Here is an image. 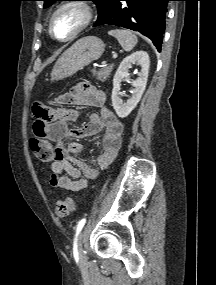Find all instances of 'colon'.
<instances>
[{"label":"colon","mask_w":216,"mask_h":285,"mask_svg":"<svg viewBox=\"0 0 216 285\" xmlns=\"http://www.w3.org/2000/svg\"><path fill=\"white\" fill-rule=\"evenodd\" d=\"M30 149L37 159L49 162L55 158V149L46 136H34L30 140ZM76 208L75 202L71 198L59 200L55 204V214L59 218H66Z\"/></svg>","instance_id":"1"}]
</instances>
